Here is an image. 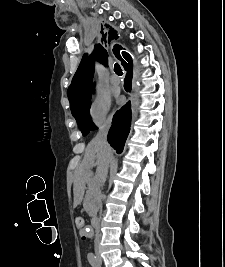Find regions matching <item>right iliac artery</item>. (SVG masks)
Segmentation results:
<instances>
[{
    "label": "right iliac artery",
    "instance_id": "1",
    "mask_svg": "<svg viewBox=\"0 0 225 267\" xmlns=\"http://www.w3.org/2000/svg\"><path fill=\"white\" fill-rule=\"evenodd\" d=\"M87 258H88L89 263L92 265V267H100V264L96 256L93 253H89Z\"/></svg>",
    "mask_w": 225,
    "mask_h": 267
}]
</instances>
